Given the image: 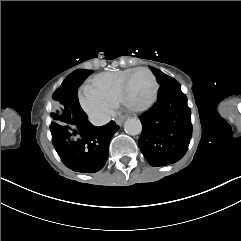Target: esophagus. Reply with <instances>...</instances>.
I'll list each match as a JSON object with an SVG mask.
<instances>
[{
	"mask_svg": "<svg viewBox=\"0 0 241 241\" xmlns=\"http://www.w3.org/2000/svg\"><path fill=\"white\" fill-rule=\"evenodd\" d=\"M126 118H127V116L118 117V118H116L115 122L117 125L121 126Z\"/></svg>",
	"mask_w": 241,
	"mask_h": 241,
	"instance_id": "34e87169",
	"label": "esophagus"
}]
</instances>
